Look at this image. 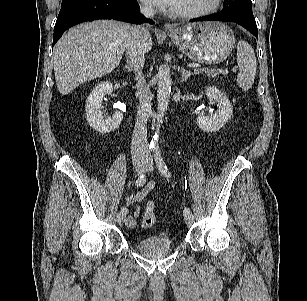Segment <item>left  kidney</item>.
I'll return each mask as SVG.
<instances>
[{
    "label": "left kidney",
    "mask_w": 307,
    "mask_h": 301,
    "mask_svg": "<svg viewBox=\"0 0 307 301\" xmlns=\"http://www.w3.org/2000/svg\"><path fill=\"white\" fill-rule=\"evenodd\" d=\"M206 95L209 99H213L218 103L217 111L210 116L199 115L197 125L203 131L216 132L231 118L233 108L226 95L216 87H208L206 89Z\"/></svg>",
    "instance_id": "obj_1"
}]
</instances>
